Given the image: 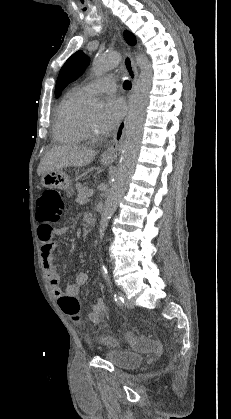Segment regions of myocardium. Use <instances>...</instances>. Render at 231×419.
Instances as JSON below:
<instances>
[{"mask_svg": "<svg viewBox=\"0 0 231 419\" xmlns=\"http://www.w3.org/2000/svg\"><path fill=\"white\" fill-rule=\"evenodd\" d=\"M81 128L86 138L96 140L100 137L98 131L94 129L91 125L90 121L88 120L87 115L84 113L81 118Z\"/></svg>", "mask_w": 231, "mask_h": 419, "instance_id": "1", "label": "myocardium"}]
</instances>
